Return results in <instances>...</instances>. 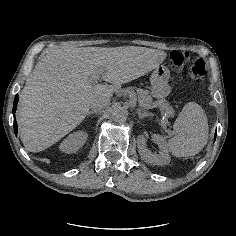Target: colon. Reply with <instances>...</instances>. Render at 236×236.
Segmentation results:
<instances>
[{
	"mask_svg": "<svg viewBox=\"0 0 236 236\" xmlns=\"http://www.w3.org/2000/svg\"><path fill=\"white\" fill-rule=\"evenodd\" d=\"M175 69H189V77L194 80L203 79L207 74L205 61L187 50H173L169 55Z\"/></svg>",
	"mask_w": 236,
	"mask_h": 236,
	"instance_id": "5ec220e1",
	"label": "colon"
}]
</instances>
